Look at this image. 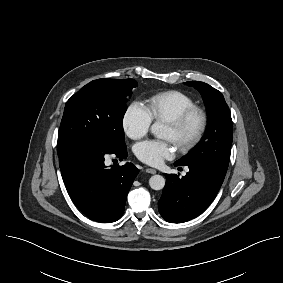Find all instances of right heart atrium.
<instances>
[{
	"label": "right heart atrium",
	"mask_w": 283,
	"mask_h": 283,
	"mask_svg": "<svg viewBox=\"0 0 283 283\" xmlns=\"http://www.w3.org/2000/svg\"><path fill=\"white\" fill-rule=\"evenodd\" d=\"M152 119L146 107L140 101L131 102L122 118V125L126 135L137 140L145 136L150 130Z\"/></svg>",
	"instance_id": "right-heart-atrium-1"
}]
</instances>
